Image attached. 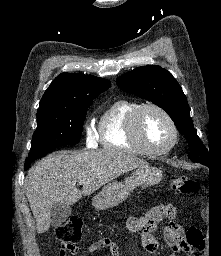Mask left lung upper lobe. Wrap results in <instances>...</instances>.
Returning a JSON list of instances; mask_svg holds the SVG:
<instances>
[{
    "mask_svg": "<svg viewBox=\"0 0 221 256\" xmlns=\"http://www.w3.org/2000/svg\"><path fill=\"white\" fill-rule=\"evenodd\" d=\"M116 83L123 91L150 100L164 109L188 140L189 158L207 164L208 150L194 129L186 96L169 71L158 65L142 66L117 78Z\"/></svg>",
    "mask_w": 221,
    "mask_h": 256,
    "instance_id": "1",
    "label": "left lung upper lobe"
}]
</instances>
